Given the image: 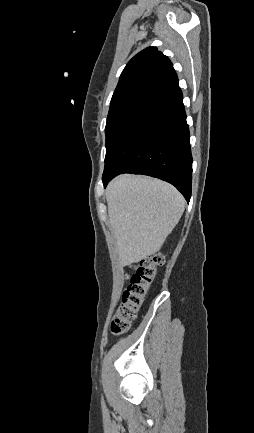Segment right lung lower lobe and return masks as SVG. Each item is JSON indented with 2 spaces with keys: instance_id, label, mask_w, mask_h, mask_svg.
Returning a JSON list of instances; mask_svg holds the SVG:
<instances>
[{
  "instance_id": "1",
  "label": "right lung lower lobe",
  "mask_w": 254,
  "mask_h": 433,
  "mask_svg": "<svg viewBox=\"0 0 254 433\" xmlns=\"http://www.w3.org/2000/svg\"><path fill=\"white\" fill-rule=\"evenodd\" d=\"M121 173L174 185L189 202L192 156L178 79L147 100L127 121L104 168L103 184Z\"/></svg>"
}]
</instances>
